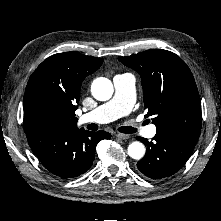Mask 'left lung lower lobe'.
Here are the masks:
<instances>
[{"instance_id": "left-lung-lower-lobe-1", "label": "left lung lower lobe", "mask_w": 221, "mask_h": 221, "mask_svg": "<svg viewBox=\"0 0 221 221\" xmlns=\"http://www.w3.org/2000/svg\"><path fill=\"white\" fill-rule=\"evenodd\" d=\"M198 138L175 131L157 132L153 142L137 137L147 146L146 154L137 167L152 179L170 177L188 160Z\"/></svg>"}]
</instances>
